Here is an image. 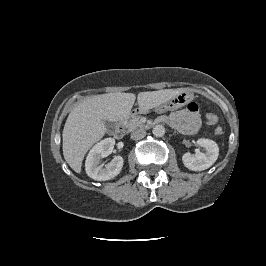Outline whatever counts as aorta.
<instances>
[{
    "instance_id": "762f6f07",
    "label": "aorta",
    "mask_w": 266,
    "mask_h": 266,
    "mask_svg": "<svg viewBox=\"0 0 266 266\" xmlns=\"http://www.w3.org/2000/svg\"><path fill=\"white\" fill-rule=\"evenodd\" d=\"M154 136L162 137L165 134V128L163 125H156L152 130Z\"/></svg>"
}]
</instances>
